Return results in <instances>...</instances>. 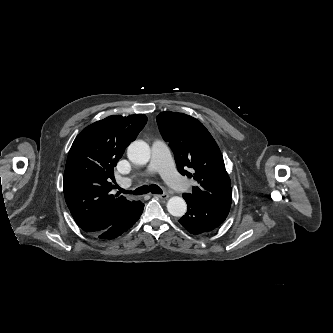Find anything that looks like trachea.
<instances>
[{
	"instance_id": "3493384b",
	"label": "trachea",
	"mask_w": 333,
	"mask_h": 333,
	"mask_svg": "<svg viewBox=\"0 0 333 333\" xmlns=\"http://www.w3.org/2000/svg\"><path fill=\"white\" fill-rule=\"evenodd\" d=\"M120 192L135 194V195L147 194L149 192H151L153 194H163L162 189L156 184H152L150 186L144 185V186H141V187L135 189L134 191H126V190L120 188Z\"/></svg>"
}]
</instances>
